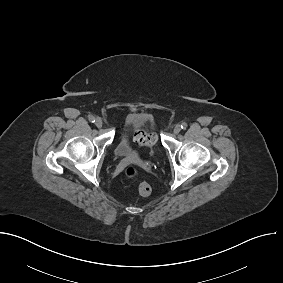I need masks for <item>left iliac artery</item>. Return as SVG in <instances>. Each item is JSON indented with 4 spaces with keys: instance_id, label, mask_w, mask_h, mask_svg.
<instances>
[{
    "instance_id": "1",
    "label": "left iliac artery",
    "mask_w": 283,
    "mask_h": 283,
    "mask_svg": "<svg viewBox=\"0 0 283 283\" xmlns=\"http://www.w3.org/2000/svg\"><path fill=\"white\" fill-rule=\"evenodd\" d=\"M181 128H182V129H186V128H187V123L183 122V123L181 124Z\"/></svg>"
}]
</instances>
